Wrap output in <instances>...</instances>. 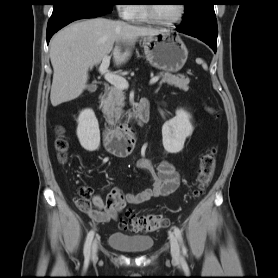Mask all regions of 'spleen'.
<instances>
[{
  "instance_id": "3e777b00",
  "label": "spleen",
  "mask_w": 278,
  "mask_h": 278,
  "mask_svg": "<svg viewBox=\"0 0 278 278\" xmlns=\"http://www.w3.org/2000/svg\"><path fill=\"white\" fill-rule=\"evenodd\" d=\"M197 63L201 64L203 69L207 70L208 69V66L207 64L202 60V59H198L197 60Z\"/></svg>"
}]
</instances>
